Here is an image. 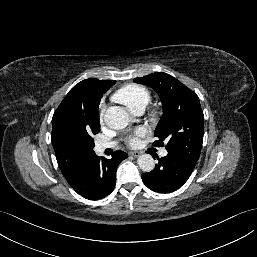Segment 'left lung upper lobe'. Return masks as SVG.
I'll return each mask as SVG.
<instances>
[{
    "label": "left lung upper lobe",
    "mask_w": 257,
    "mask_h": 257,
    "mask_svg": "<svg viewBox=\"0 0 257 257\" xmlns=\"http://www.w3.org/2000/svg\"><path fill=\"white\" fill-rule=\"evenodd\" d=\"M153 88L159 95L163 115L154 131L155 146L198 160L203 143L204 115L198 96L173 76L156 72L134 79Z\"/></svg>",
    "instance_id": "left-lung-upper-lobe-1"
}]
</instances>
